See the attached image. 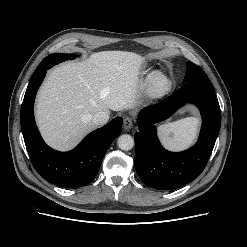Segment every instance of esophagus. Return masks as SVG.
<instances>
[{"label":"esophagus","mask_w":247,"mask_h":247,"mask_svg":"<svg viewBox=\"0 0 247 247\" xmlns=\"http://www.w3.org/2000/svg\"><path fill=\"white\" fill-rule=\"evenodd\" d=\"M123 127L126 131L130 130L133 127V120L131 117H125L124 118Z\"/></svg>","instance_id":"1"}]
</instances>
